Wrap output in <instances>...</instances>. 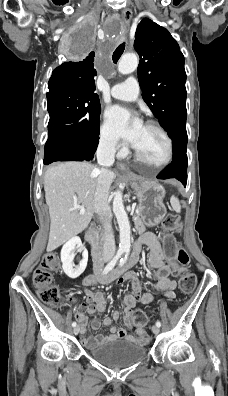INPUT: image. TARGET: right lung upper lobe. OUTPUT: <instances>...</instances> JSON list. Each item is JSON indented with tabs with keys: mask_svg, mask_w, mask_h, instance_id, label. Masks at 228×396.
Here are the masks:
<instances>
[{
	"mask_svg": "<svg viewBox=\"0 0 228 396\" xmlns=\"http://www.w3.org/2000/svg\"><path fill=\"white\" fill-rule=\"evenodd\" d=\"M94 52L78 62H65L58 66L52 73L50 82L66 81L74 83L88 91H95L96 70L94 69Z\"/></svg>",
	"mask_w": 228,
	"mask_h": 396,
	"instance_id": "right-lung-upper-lobe-1",
	"label": "right lung upper lobe"
}]
</instances>
